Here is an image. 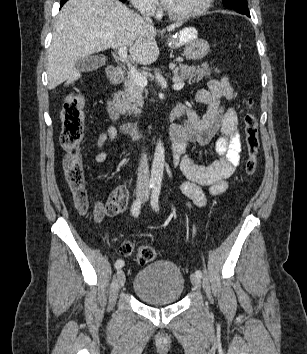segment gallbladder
Here are the masks:
<instances>
[{
  "mask_svg": "<svg viewBox=\"0 0 307 354\" xmlns=\"http://www.w3.org/2000/svg\"><path fill=\"white\" fill-rule=\"evenodd\" d=\"M105 58L97 55H90L77 60L75 66L82 72H89L98 69L105 64Z\"/></svg>",
  "mask_w": 307,
  "mask_h": 354,
  "instance_id": "1",
  "label": "gallbladder"
}]
</instances>
